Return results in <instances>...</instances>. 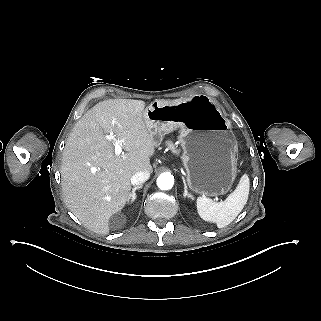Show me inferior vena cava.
Returning <instances> with one entry per match:
<instances>
[{"instance_id":"1","label":"inferior vena cava","mask_w":321,"mask_h":321,"mask_svg":"<svg viewBox=\"0 0 321 321\" xmlns=\"http://www.w3.org/2000/svg\"><path fill=\"white\" fill-rule=\"evenodd\" d=\"M150 177L149 172H136L132 177H131V183L132 185H142L145 181H147Z\"/></svg>"}]
</instances>
